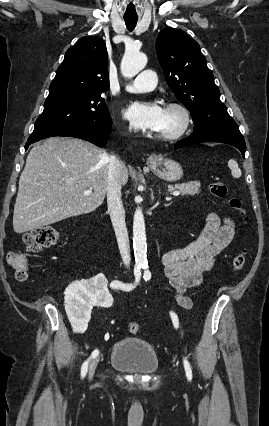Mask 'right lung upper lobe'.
Here are the masks:
<instances>
[{"label": "right lung upper lobe", "instance_id": "obj_1", "mask_svg": "<svg viewBox=\"0 0 269 426\" xmlns=\"http://www.w3.org/2000/svg\"><path fill=\"white\" fill-rule=\"evenodd\" d=\"M108 89L106 44L99 37L89 36L80 38L67 50L49 93L61 90L104 93Z\"/></svg>", "mask_w": 269, "mask_h": 426}]
</instances>
